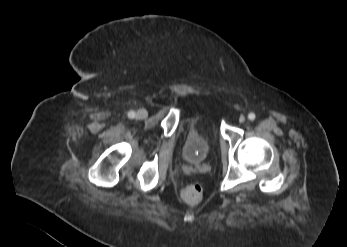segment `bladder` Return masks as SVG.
<instances>
[{"instance_id": "31cf9c89", "label": "bladder", "mask_w": 347, "mask_h": 247, "mask_svg": "<svg viewBox=\"0 0 347 247\" xmlns=\"http://www.w3.org/2000/svg\"><path fill=\"white\" fill-rule=\"evenodd\" d=\"M183 158L190 164L203 163L217 142L218 121L209 111H197L184 119Z\"/></svg>"}]
</instances>
